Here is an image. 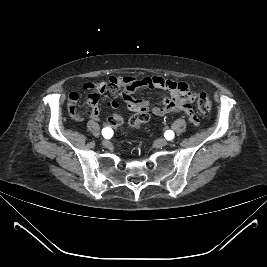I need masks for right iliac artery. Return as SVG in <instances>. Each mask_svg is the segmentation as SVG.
Listing matches in <instances>:
<instances>
[{"mask_svg": "<svg viewBox=\"0 0 267 267\" xmlns=\"http://www.w3.org/2000/svg\"><path fill=\"white\" fill-rule=\"evenodd\" d=\"M102 134L105 138H110L113 135V131L111 128H104Z\"/></svg>", "mask_w": 267, "mask_h": 267, "instance_id": "obj_1", "label": "right iliac artery"}]
</instances>
